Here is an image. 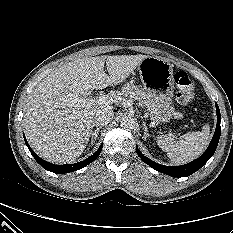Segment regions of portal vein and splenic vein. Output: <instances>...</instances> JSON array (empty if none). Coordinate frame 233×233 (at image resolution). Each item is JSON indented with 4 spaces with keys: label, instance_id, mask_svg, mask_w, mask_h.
I'll return each mask as SVG.
<instances>
[{
    "label": "portal vein and splenic vein",
    "instance_id": "obj_1",
    "mask_svg": "<svg viewBox=\"0 0 233 233\" xmlns=\"http://www.w3.org/2000/svg\"><path fill=\"white\" fill-rule=\"evenodd\" d=\"M115 98L111 95H102L99 96L96 99L87 98V99H81L80 102L82 104H92V105H111L115 102Z\"/></svg>",
    "mask_w": 233,
    "mask_h": 233
}]
</instances>
